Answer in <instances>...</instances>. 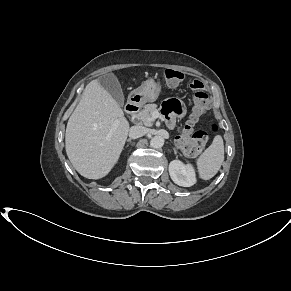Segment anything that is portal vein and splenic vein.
I'll use <instances>...</instances> for the list:
<instances>
[{
    "label": "portal vein and splenic vein",
    "instance_id": "1",
    "mask_svg": "<svg viewBox=\"0 0 291 291\" xmlns=\"http://www.w3.org/2000/svg\"><path fill=\"white\" fill-rule=\"evenodd\" d=\"M158 117H159L158 111H154L151 115L150 120L153 121V120L157 119Z\"/></svg>",
    "mask_w": 291,
    "mask_h": 291
}]
</instances>
